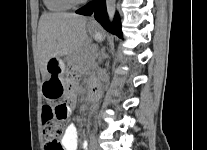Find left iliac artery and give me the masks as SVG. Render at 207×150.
<instances>
[{
    "instance_id": "obj_1",
    "label": "left iliac artery",
    "mask_w": 207,
    "mask_h": 150,
    "mask_svg": "<svg viewBox=\"0 0 207 150\" xmlns=\"http://www.w3.org/2000/svg\"><path fill=\"white\" fill-rule=\"evenodd\" d=\"M91 140H92V141H94V137H93V136L91 137ZM84 145L86 146V145H87V143H85Z\"/></svg>"
}]
</instances>
